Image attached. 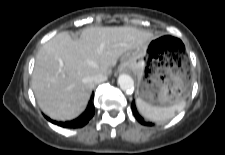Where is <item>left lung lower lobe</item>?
<instances>
[{
	"label": "left lung lower lobe",
	"mask_w": 225,
	"mask_h": 155,
	"mask_svg": "<svg viewBox=\"0 0 225 155\" xmlns=\"http://www.w3.org/2000/svg\"><path fill=\"white\" fill-rule=\"evenodd\" d=\"M132 110H133V113L136 117V119L141 123V124H144V125H148V126H152L153 123H150V122H145L143 120V118L138 114L137 110H136V106H135V102L133 101L132 102Z\"/></svg>",
	"instance_id": "1"
}]
</instances>
